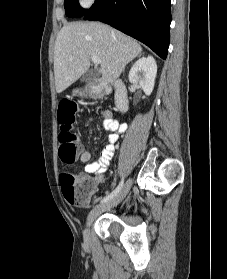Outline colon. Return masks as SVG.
Returning <instances> with one entry per match:
<instances>
[{
    "instance_id": "5ec220e1",
    "label": "colon",
    "mask_w": 227,
    "mask_h": 279,
    "mask_svg": "<svg viewBox=\"0 0 227 279\" xmlns=\"http://www.w3.org/2000/svg\"><path fill=\"white\" fill-rule=\"evenodd\" d=\"M77 111L76 104L69 100L62 101L58 109V122L61 126L58 136V155L61 162L66 165L74 163L80 151L77 136L72 131ZM62 187L65 193L73 196L76 204H84L95 195L90 181L70 173L63 175Z\"/></svg>"
}]
</instances>
